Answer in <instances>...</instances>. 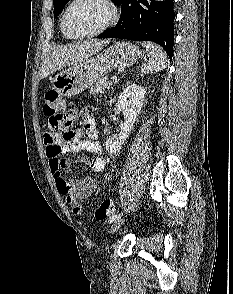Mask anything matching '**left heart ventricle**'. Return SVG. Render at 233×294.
Here are the masks:
<instances>
[{
  "label": "left heart ventricle",
  "instance_id": "1",
  "mask_svg": "<svg viewBox=\"0 0 233 294\" xmlns=\"http://www.w3.org/2000/svg\"><path fill=\"white\" fill-rule=\"evenodd\" d=\"M107 18L108 10L98 0H81L68 12L66 25L72 34L83 35L101 27Z\"/></svg>",
  "mask_w": 233,
  "mask_h": 294
}]
</instances>
